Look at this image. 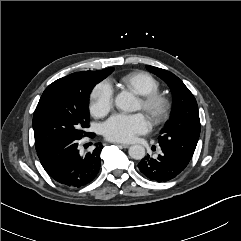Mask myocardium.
<instances>
[{
  "label": "myocardium",
  "mask_w": 241,
  "mask_h": 241,
  "mask_svg": "<svg viewBox=\"0 0 241 241\" xmlns=\"http://www.w3.org/2000/svg\"><path fill=\"white\" fill-rule=\"evenodd\" d=\"M141 109L150 117L154 124L164 123L171 112L170 99L160 92L140 96Z\"/></svg>",
  "instance_id": "1"
}]
</instances>
